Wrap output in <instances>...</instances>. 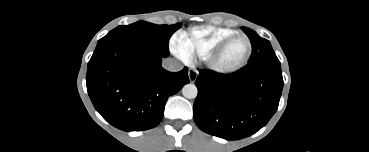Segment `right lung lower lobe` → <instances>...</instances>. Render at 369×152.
<instances>
[{
    "label": "right lung lower lobe",
    "instance_id": "98d812e1",
    "mask_svg": "<svg viewBox=\"0 0 369 152\" xmlns=\"http://www.w3.org/2000/svg\"><path fill=\"white\" fill-rule=\"evenodd\" d=\"M167 56L137 41L115 40L96 47L86 76L95 109L123 131L157 126L168 97L189 83L187 67L175 73L162 68Z\"/></svg>",
    "mask_w": 369,
    "mask_h": 152
}]
</instances>
